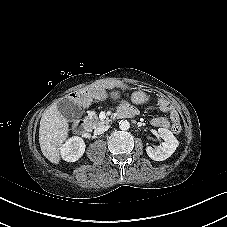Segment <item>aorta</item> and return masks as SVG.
I'll return each instance as SVG.
<instances>
[{
	"instance_id": "obj_1",
	"label": "aorta",
	"mask_w": 227,
	"mask_h": 227,
	"mask_svg": "<svg viewBox=\"0 0 227 227\" xmlns=\"http://www.w3.org/2000/svg\"><path fill=\"white\" fill-rule=\"evenodd\" d=\"M119 128L121 130H128L130 128V123L127 120H121L119 122Z\"/></svg>"
}]
</instances>
